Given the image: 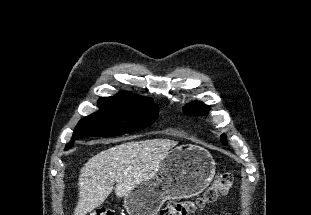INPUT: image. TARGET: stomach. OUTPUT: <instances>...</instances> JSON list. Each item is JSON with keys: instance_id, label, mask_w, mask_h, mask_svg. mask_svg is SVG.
<instances>
[{"instance_id": "obj_1", "label": "stomach", "mask_w": 311, "mask_h": 215, "mask_svg": "<svg viewBox=\"0 0 311 215\" xmlns=\"http://www.w3.org/2000/svg\"><path fill=\"white\" fill-rule=\"evenodd\" d=\"M211 154L198 145H181L169 151L159 166L124 198L129 215H156L167 199L200 194L215 175Z\"/></svg>"}]
</instances>
